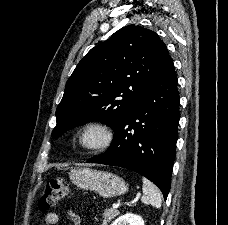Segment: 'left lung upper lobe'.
I'll return each instance as SVG.
<instances>
[{"mask_svg":"<svg viewBox=\"0 0 228 225\" xmlns=\"http://www.w3.org/2000/svg\"><path fill=\"white\" fill-rule=\"evenodd\" d=\"M170 60L166 45L154 31L138 25L121 28L91 49L73 71L51 136L59 137L93 120L115 129Z\"/></svg>","mask_w":228,"mask_h":225,"instance_id":"obj_1","label":"left lung upper lobe"}]
</instances>
